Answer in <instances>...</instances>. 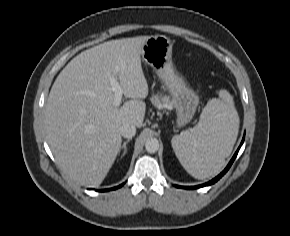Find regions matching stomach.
Instances as JSON below:
<instances>
[{"label":"stomach","mask_w":290,"mask_h":236,"mask_svg":"<svg viewBox=\"0 0 290 236\" xmlns=\"http://www.w3.org/2000/svg\"><path fill=\"white\" fill-rule=\"evenodd\" d=\"M142 60L150 65L170 95L176 112V127L188 124L198 107L199 96L189 87L172 62V43L164 35H152L143 45Z\"/></svg>","instance_id":"stomach-1"}]
</instances>
